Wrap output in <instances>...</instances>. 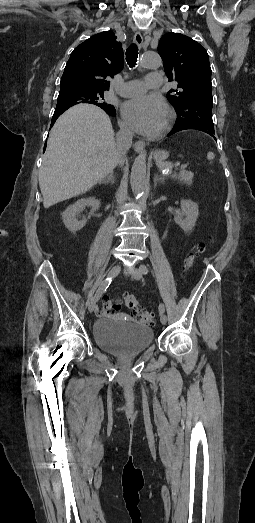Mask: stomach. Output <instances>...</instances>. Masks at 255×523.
<instances>
[{
    "label": "stomach",
    "mask_w": 255,
    "mask_h": 523,
    "mask_svg": "<svg viewBox=\"0 0 255 523\" xmlns=\"http://www.w3.org/2000/svg\"><path fill=\"white\" fill-rule=\"evenodd\" d=\"M155 160H163L165 158L164 152H155L154 154Z\"/></svg>",
    "instance_id": "0dacf381"
}]
</instances>
